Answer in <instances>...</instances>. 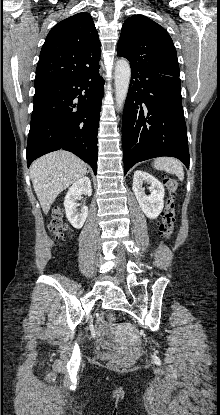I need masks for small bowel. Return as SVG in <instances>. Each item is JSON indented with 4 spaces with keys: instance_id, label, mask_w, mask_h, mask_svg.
Masks as SVG:
<instances>
[{
    "instance_id": "small-bowel-1",
    "label": "small bowel",
    "mask_w": 220,
    "mask_h": 415,
    "mask_svg": "<svg viewBox=\"0 0 220 415\" xmlns=\"http://www.w3.org/2000/svg\"><path fill=\"white\" fill-rule=\"evenodd\" d=\"M98 336H99V342L104 347H109L111 344V340L108 337L105 329L103 326L98 327Z\"/></svg>"
}]
</instances>
